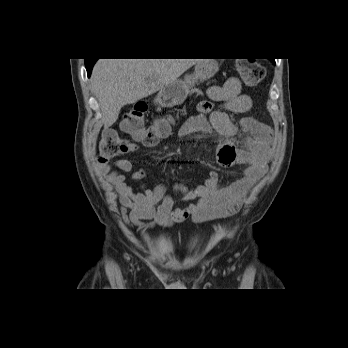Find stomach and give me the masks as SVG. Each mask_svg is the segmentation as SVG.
I'll return each mask as SVG.
<instances>
[{
    "instance_id": "stomach-1",
    "label": "stomach",
    "mask_w": 348,
    "mask_h": 348,
    "mask_svg": "<svg viewBox=\"0 0 348 348\" xmlns=\"http://www.w3.org/2000/svg\"><path fill=\"white\" fill-rule=\"evenodd\" d=\"M217 70L218 64L214 59H201L195 65L193 73L186 74L183 80L178 79L161 89L155 102L162 107H173L181 104L186 99L190 89L213 77Z\"/></svg>"
}]
</instances>
